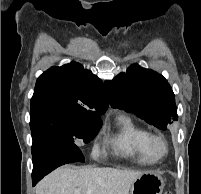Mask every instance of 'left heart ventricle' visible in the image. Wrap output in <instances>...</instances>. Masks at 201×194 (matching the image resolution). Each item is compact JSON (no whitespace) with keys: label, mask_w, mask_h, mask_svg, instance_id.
Returning a JSON list of instances; mask_svg holds the SVG:
<instances>
[{"label":"left heart ventricle","mask_w":201,"mask_h":194,"mask_svg":"<svg viewBox=\"0 0 201 194\" xmlns=\"http://www.w3.org/2000/svg\"><path fill=\"white\" fill-rule=\"evenodd\" d=\"M155 150L157 151V152H162L163 151V146H162V144H160V143H157L156 145H155Z\"/></svg>","instance_id":"b2bd125f"}]
</instances>
